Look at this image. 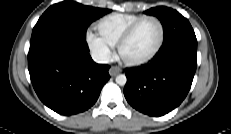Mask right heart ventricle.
Segmentation results:
<instances>
[{
	"label": "right heart ventricle",
	"mask_w": 231,
	"mask_h": 134,
	"mask_svg": "<svg viewBox=\"0 0 231 134\" xmlns=\"http://www.w3.org/2000/svg\"><path fill=\"white\" fill-rule=\"evenodd\" d=\"M141 17L137 14L112 13L100 19L96 29L103 39L115 46L125 31Z\"/></svg>",
	"instance_id": "1"
}]
</instances>
